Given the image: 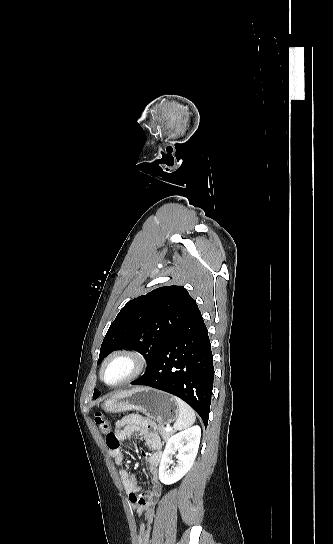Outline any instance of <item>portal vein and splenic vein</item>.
Returning <instances> with one entry per match:
<instances>
[{"label":"portal vein and splenic vein","instance_id":"18ae733b","mask_svg":"<svg viewBox=\"0 0 333 544\" xmlns=\"http://www.w3.org/2000/svg\"><path fill=\"white\" fill-rule=\"evenodd\" d=\"M171 430H172V427H171L170 425H167V426L165 427V431L169 432V431H171Z\"/></svg>","mask_w":333,"mask_h":544}]
</instances>
